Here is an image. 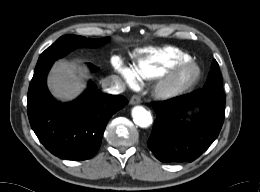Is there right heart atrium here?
<instances>
[{"label":"right heart atrium","instance_id":"obj_1","mask_svg":"<svg viewBox=\"0 0 260 192\" xmlns=\"http://www.w3.org/2000/svg\"><path fill=\"white\" fill-rule=\"evenodd\" d=\"M114 70L121 76V78L129 85H133L136 82V76L134 71L127 65H125L119 59H114L113 62Z\"/></svg>","mask_w":260,"mask_h":192}]
</instances>
